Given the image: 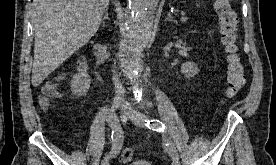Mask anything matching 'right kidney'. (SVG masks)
I'll use <instances>...</instances> for the list:
<instances>
[{
  "mask_svg": "<svg viewBox=\"0 0 276 165\" xmlns=\"http://www.w3.org/2000/svg\"><path fill=\"white\" fill-rule=\"evenodd\" d=\"M79 66L78 73L73 76L71 81V91L77 97L85 96L90 88V77L87 74V62L86 58L82 57L81 60L77 62Z\"/></svg>",
  "mask_w": 276,
  "mask_h": 165,
  "instance_id": "obj_1",
  "label": "right kidney"
}]
</instances>
